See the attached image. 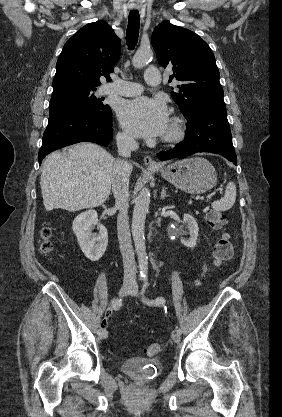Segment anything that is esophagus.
<instances>
[{
	"instance_id": "obj_1",
	"label": "esophagus",
	"mask_w": 282,
	"mask_h": 417,
	"mask_svg": "<svg viewBox=\"0 0 282 417\" xmlns=\"http://www.w3.org/2000/svg\"><path fill=\"white\" fill-rule=\"evenodd\" d=\"M144 162L148 167H159V164H157L150 155H146L144 157Z\"/></svg>"
}]
</instances>
